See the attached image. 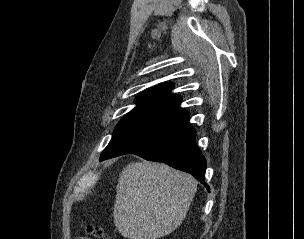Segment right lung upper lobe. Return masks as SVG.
<instances>
[{
  "label": "right lung upper lobe",
  "instance_id": "obj_1",
  "mask_svg": "<svg viewBox=\"0 0 304 239\" xmlns=\"http://www.w3.org/2000/svg\"><path fill=\"white\" fill-rule=\"evenodd\" d=\"M172 88L173 86L164 84L141 93L135 100L137 106L131 112L145 113L168 121L189 115L188 111L180 107L182 100L171 93Z\"/></svg>",
  "mask_w": 304,
  "mask_h": 239
}]
</instances>
